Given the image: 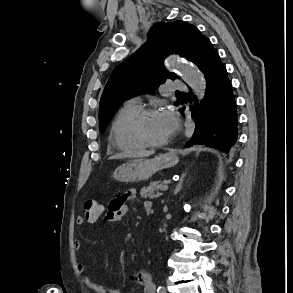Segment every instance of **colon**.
<instances>
[{
    "label": "colon",
    "instance_id": "1",
    "mask_svg": "<svg viewBox=\"0 0 293 293\" xmlns=\"http://www.w3.org/2000/svg\"><path fill=\"white\" fill-rule=\"evenodd\" d=\"M103 212L102 205L94 199H89L84 204V217L88 222H96Z\"/></svg>",
    "mask_w": 293,
    "mask_h": 293
}]
</instances>
